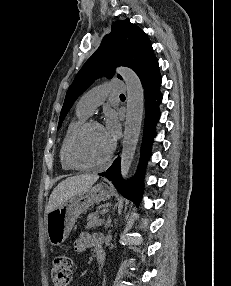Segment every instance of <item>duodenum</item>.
Returning a JSON list of instances; mask_svg holds the SVG:
<instances>
[{
  "mask_svg": "<svg viewBox=\"0 0 231 286\" xmlns=\"http://www.w3.org/2000/svg\"><path fill=\"white\" fill-rule=\"evenodd\" d=\"M104 250L101 246V243L100 245L96 248V259H97V262L99 263V265H102L103 262H104Z\"/></svg>",
  "mask_w": 231,
  "mask_h": 286,
  "instance_id": "obj_1",
  "label": "duodenum"
}]
</instances>
